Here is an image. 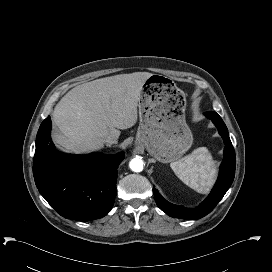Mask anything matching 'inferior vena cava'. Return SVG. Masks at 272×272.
<instances>
[{"mask_svg":"<svg viewBox=\"0 0 272 272\" xmlns=\"http://www.w3.org/2000/svg\"><path fill=\"white\" fill-rule=\"evenodd\" d=\"M105 143L109 144V145H113V144H117V139L112 136L109 135L106 139H105Z\"/></svg>","mask_w":272,"mask_h":272,"instance_id":"602c4592","label":"inferior vena cava"}]
</instances>
